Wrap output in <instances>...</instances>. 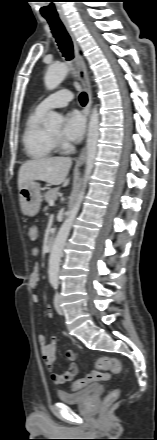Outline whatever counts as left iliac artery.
<instances>
[{
	"label": "left iliac artery",
	"mask_w": 157,
	"mask_h": 440,
	"mask_svg": "<svg viewBox=\"0 0 157 440\" xmlns=\"http://www.w3.org/2000/svg\"><path fill=\"white\" fill-rule=\"evenodd\" d=\"M53 286H54L55 289H57V288H58V283H57V282H54V283H53Z\"/></svg>",
	"instance_id": "obj_1"
}]
</instances>
